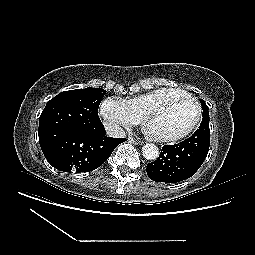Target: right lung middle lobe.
Wrapping results in <instances>:
<instances>
[{
  "mask_svg": "<svg viewBox=\"0 0 255 255\" xmlns=\"http://www.w3.org/2000/svg\"><path fill=\"white\" fill-rule=\"evenodd\" d=\"M105 93L102 88L69 90L48 101L39 119L42 152H48L72 131H101L104 126L98 116V107Z\"/></svg>",
  "mask_w": 255,
  "mask_h": 255,
  "instance_id": "obj_1",
  "label": "right lung middle lobe"
}]
</instances>
